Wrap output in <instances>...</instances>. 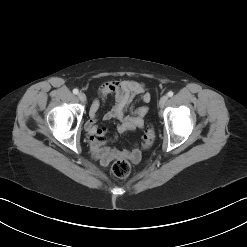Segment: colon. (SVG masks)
<instances>
[{"mask_svg": "<svg viewBox=\"0 0 247 247\" xmlns=\"http://www.w3.org/2000/svg\"><path fill=\"white\" fill-rule=\"evenodd\" d=\"M155 140V131L153 128H148L145 131L144 137H143V146L144 148H149ZM131 169V165L129 161L126 159H120L114 162L112 165V172L116 177L124 178L126 177Z\"/></svg>", "mask_w": 247, "mask_h": 247, "instance_id": "colon-1", "label": "colon"}]
</instances>
